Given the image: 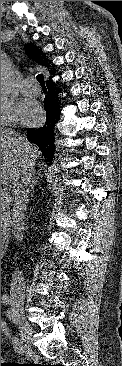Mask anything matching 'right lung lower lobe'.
Returning <instances> with one entry per match:
<instances>
[{
	"mask_svg": "<svg viewBox=\"0 0 122 366\" xmlns=\"http://www.w3.org/2000/svg\"><path fill=\"white\" fill-rule=\"evenodd\" d=\"M59 88L54 86L52 81H49L48 95L44 100V108L46 110V123L43 127L38 129H27L28 139L36 143L46 161L51 162L56 152L55 141V125L59 120L60 115V102L58 93Z\"/></svg>",
	"mask_w": 122,
	"mask_h": 366,
	"instance_id": "obj_1",
	"label": "right lung lower lobe"
}]
</instances>
